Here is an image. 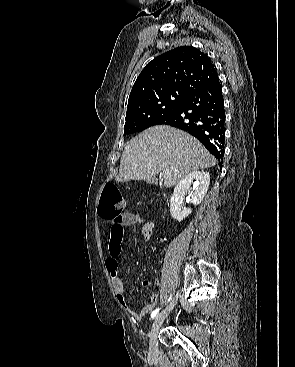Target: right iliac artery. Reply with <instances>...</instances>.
<instances>
[{"mask_svg":"<svg viewBox=\"0 0 295 367\" xmlns=\"http://www.w3.org/2000/svg\"><path fill=\"white\" fill-rule=\"evenodd\" d=\"M171 300V296L168 299V302ZM159 312V308L155 309L152 313H151V319H153L157 313Z\"/></svg>","mask_w":295,"mask_h":367,"instance_id":"right-iliac-artery-1","label":"right iliac artery"}]
</instances>
